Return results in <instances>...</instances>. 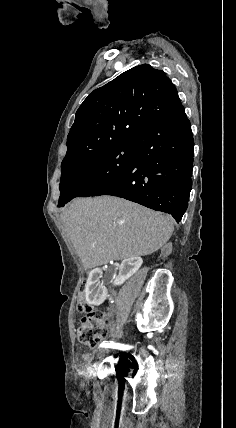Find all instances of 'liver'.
Instances as JSON below:
<instances>
[{
    "instance_id": "obj_1",
    "label": "liver",
    "mask_w": 236,
    "mask_h": 428,
    "mask_svg": "<svg viewBox=\"0 0 236 428\" xmlns=\"http://www.w3.org/2000/svg\"><path fill=\"white\" fill-rule=\"evenodd\" d=\"M61 220L85 270L153 254L174 230L171 216L114 196L75 198L65 206Z\"/></svg>"
}]
</instances>
